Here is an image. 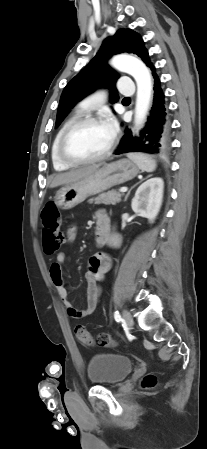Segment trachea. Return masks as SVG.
I'll return each instance as SVG.
<instances>
[{"mask_svg": "<svg viewBox=\"0 0 207 449\" xmlns=\"http://www.w3.org/2000/svg\"><path fill=\"white\" fill-rule=\"evenodd\" d=\"M123 100H130V98L129 97H125Z\"/></svg>", "mask_w": 207, "mask_h": 449, "instance_id": "3493384b", "label": "trachea"}]
</instances>
